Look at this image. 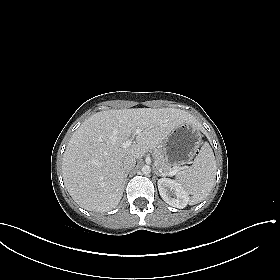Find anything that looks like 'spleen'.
Instances as JSON below:
<instances>
[{
  "label": "spleen",
  "instance_id": "obj_1",
  "mask_svg": "<svg viewBox=\"0 0 280 280\" xmlns=\"http://www.w3.org/2000/svg\"><path fill=\"white\" fill-rule=\"evenodd\" d=\"M216 161L214 153L204 142L193 165L177 175V182L191 195L190 204L203 201L211 191L216 178Z\"/></svg>",
  "mask_w": 280,
  "mask_h": 280
}]
</instances>
